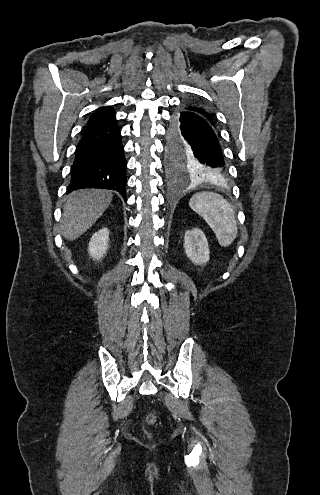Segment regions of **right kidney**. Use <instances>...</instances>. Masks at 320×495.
<instances>
[{"label":"right kidney","mask_w":320,"mask_h":495,"mask_svg":"<svg viewBox=\"0 0 320 495\" xmlns=\"http://www.w3.org/2000/svg\"><path fill=\"white\" fill-rule=\"evenodd\" d=\"M108 241L109 230L107 228L99 230L92 236L89 242L88 253L94 260L99 261L106 254Z\"/></svg>","instance_id":"1"}]
</instances>
